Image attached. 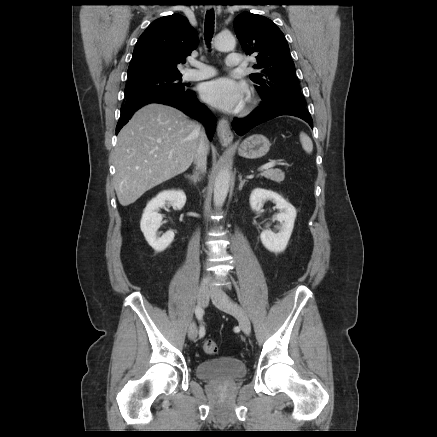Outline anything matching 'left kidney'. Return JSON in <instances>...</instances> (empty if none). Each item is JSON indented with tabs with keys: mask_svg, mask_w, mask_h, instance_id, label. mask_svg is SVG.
<instances>
[{
	"mask_svg": "<svg viewBox=\"0 0 437 437\" xmlns=\"http://www.w3.org/2000/svg\"><path fill=\"white\" fill-rule=\"evenodd\" d=\"M267 200L276 204V208L280 213L274 215L273 220H277L280 226L277 233L265 229L262 231L260 238L266 249L274 253L283 252L288 244L290 236L293 231L294 222L296 218V209L289 202H287L278 193L262 188H255L250 195V207L253 211L260 213L264 202Z\"/></svg>",
	"mask_w": 437,
	"mask_h": 437,
	"instance_id": "left-kidney-1",
	"label": "left kidney"
}]
</instances>
